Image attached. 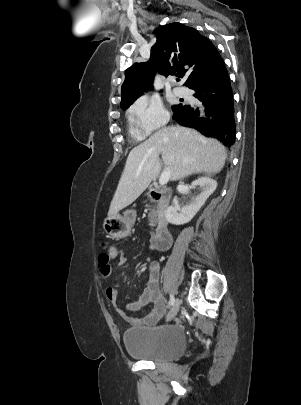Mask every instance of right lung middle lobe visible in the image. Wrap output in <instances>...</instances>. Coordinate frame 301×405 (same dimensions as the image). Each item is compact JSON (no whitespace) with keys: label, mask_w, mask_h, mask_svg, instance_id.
Listing matches in <instances>:
<instances>
[{"label":"right lung middle lobe","mask_w":301,"mask_h":405,"mask_svg":"<svg viewBox=\"0 0 301 405\" xmlns=\"http://www.w3.org/2000/svg\"><path fill=\"white\" fill-rule=\"evenodd\" d=\"M183 104H179V105H174L173 106V110H176L177 108L181 107Z\"/></svg>","instance_id":"1"}]
</instances>
